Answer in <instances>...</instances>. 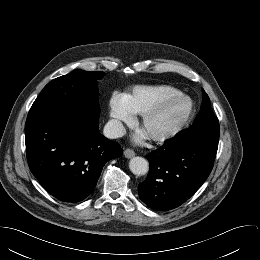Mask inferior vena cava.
Wrapping results in <instances>:
<instances>
[{"label":"inferior vena cava","instance_id":"602c4592","mask_svg":"<svg viewBox=\"0 0 260 260\" xmlns=\"http://www.w3.org/2000/svg\"><path fill=\"white\" fill-rule=\"evenodd\" d=\"M103 132L107 138L116 139L125 134V129L120 121L111 119L105 125Z\"/></svg>","mask_w":260,"mask_h":260}]
</instances>
